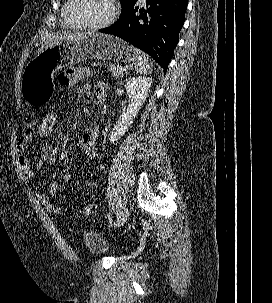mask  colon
I'll use <instances>...</instances> for the list:
<instances>
[{"mask_svg":"<svg viewBox=\"0 0 272 303\" xmlns=\"http://www.w3.org/2000/svg\"><path fill=\"white\" fill-rule=\"evenodd\" d=\"M58 122V110L56 108L47 110L36 126L37 135L44 140H49L55 134V131L58 127ZM70 176V173L65 174L62 179V184L66 183L69 180ZM58 186L60 187V184H58ZM96 209L97 206L94 203H91L84 208L83 213L85 216H91L96 212Z\"/></svg>","mask_w":272,"mask_h":303,"instance_id":"obj_1","label":"colon"}]
</instances>
